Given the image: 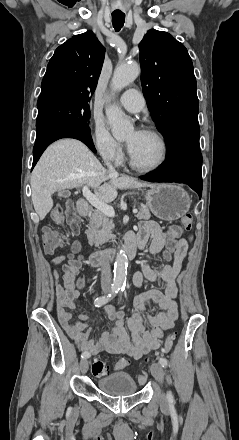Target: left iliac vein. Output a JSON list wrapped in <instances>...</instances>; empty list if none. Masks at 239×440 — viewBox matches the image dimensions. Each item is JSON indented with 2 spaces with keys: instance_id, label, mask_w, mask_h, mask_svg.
<instances>
[{
  "instance_id": "1",
  "label": "left iliac vein",
  "mask_w": 239,
  "mask_h": 440,
  "mask_svg": "<svg viewBox=\"0 0 239 440\" xmlns=\"http://www.w3.org/2000/svg\"><path fill=\"white\" fill-rule=\"evenodd\" d=\"M150 371H151V374L153 375V377L155 378V380L159 384H162L163 380H164V371H163L162 366L159 363H153L150 367ZM160 404L162 407H165L167 405V400H166L165 395L161 396Z\"/></svg>"
}]
</instances>
